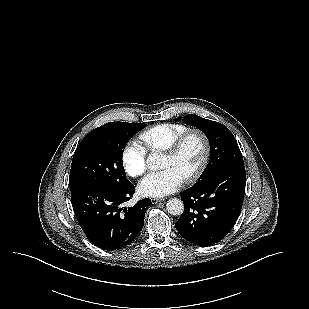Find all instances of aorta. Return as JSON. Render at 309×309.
Instances as JSON below:
<instances>
[{
  "mask_svg": "<svg viewBox=\"0 0 309 309\" xmlns=\"http://www.w3.org/2000/svg\"><path fill=\"white\" fill-rule=\"evenodd\" d=\"M159 163V155L151 154L147 159V164L150 168L156 169ZM166 210L169 214L178 216L184 211V204L180 199L172 198L167 201Z\"/></svg>",
  "mask_w": 309,
  "mask_h": 309,
  "instance_id": "obj_1",
  "label": "aorta"
}]
</instances>
